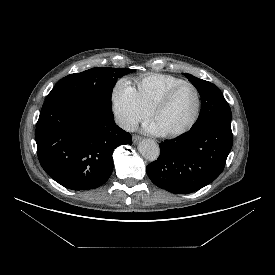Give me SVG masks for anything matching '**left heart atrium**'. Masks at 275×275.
Segmentation results:
<instances>
[{
  "mask_svg": "<svg viewBox=\"0 0 275 275\" xmlns=\"http://www.w3.org/2000/svg\"><path fill=\"white\" fill-rule=\"evenodd\" d=\"M145 129L152 134H158V135L163 134L162 130L159 128V126L154 121L149 122L146 125Z\"/></svg>",
  "mask_w": 275,
  "mask_h": 275,
  "instance_id": "obj_1",
  "label": "left heart atrium"
}]
</instances>
